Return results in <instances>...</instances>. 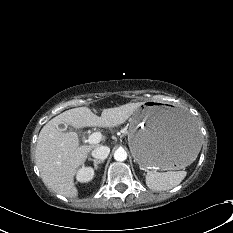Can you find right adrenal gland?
Returning a JSON list of instances; mask_svg holds the SVG:
<instances>
[{"mask_svg":"<svg viewBox=\"0 0 233 233\" xmlns=\"http://www.w3.org/2000/svg\"><path fill=\"white\" fill-rule=\"evenodd\" d=\"M88 160L94 162V167H95V169H97L98 164H101V163L104 162V160H96V159H92V158H90V157L88 158Z\"/></svg>","mask_w":233,"mask_h":233,"instance_id":"2a0ac1e0","label":"right adrenal gland"}]
</instances>
